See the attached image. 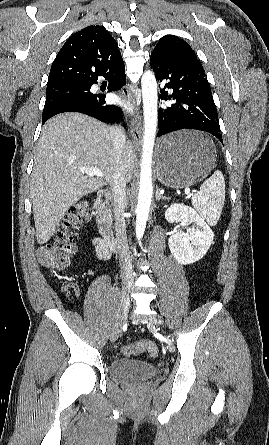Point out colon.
Masks as SVG:
<instances>
[{"label": "colon", "mask_w": 269, "mask_h": 445, "mask_svg": "<svg viewBox=\"0 0 269 445\" xmlns=\"http://www.w3.org/2000/svg\"><path fill=\"white\" fill-rule=\"evenodd\" d=\"M89 219L88 200L82 199L74 203L55 232L53 242L38 248L37 254L40 262L52 271L67 268L76 251V231ZM142 351H147L151 356H155L157 348L151 341H140L122 347V353L127 357L134 356Z\"/></svg>", "instance_id": "obj_1"}]
</instances>
